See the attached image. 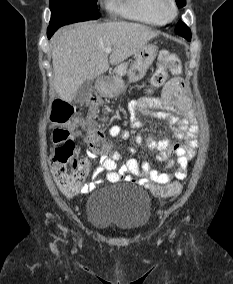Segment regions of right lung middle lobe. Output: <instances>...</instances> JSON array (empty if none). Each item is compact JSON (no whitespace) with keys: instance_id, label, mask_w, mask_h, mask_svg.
<instances>
[{"instance_id":"right-lung-middle-lobe-1","label":"right lung middle lobe","mask_w":233,"mask_h":284,"mask_svg":"<svg viewBox=\"0 0 233 284\" xmlns=\"http://www.w3.org/2000/svg\"><path fill=\"white\" fill-rule=\"evenodd\" d=\"M51 21L47 32L59 27L100 17L97 0H50Z\"/></svg>"}]
</instances>
